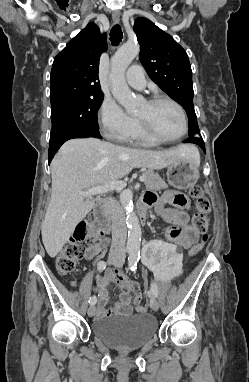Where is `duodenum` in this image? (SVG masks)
<instances>
[{"instance_id": "duodenum-1", "label": "duodenum", "mask_w": 249, "mask_h": 382, "mask_svg": "<svg viewBox=\"0 0 249 382\" xmlns=\"http://www.w3.org/2000/svg\"><path fill=\"white\" fill-rule=\"evenodd\" d=\"M104 207L105 206L103 199L98 200L94 205L93 214L99 222V224L101 225L103 233L107 234L110 231V220L105 213ZM147 210L148 206L143 201L138 203L137 211L142 223L146 222L147 220Z\"/></svg>"}]
</instances>
